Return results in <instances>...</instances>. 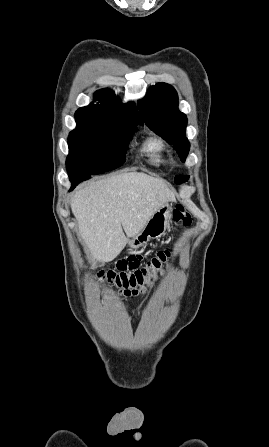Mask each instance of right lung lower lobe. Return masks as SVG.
<instances>
[{
    "instance_id": "1",
    "label": "right lung lower lobe",
    "mask_w": 269,
    "mask_h": 447,
    "mask_svg": "<svg viewBox=\"0 0 269 447\" xmlns=\"http://www.w3.org/2000/svg\"><path fill=\"white\" fill-rule=\"evenodd\" d=\"M91 176H92V175H89V177H91ZM69 177H70V181L72 182V187H71L70 190L74 189L75 186H76L78 183H80L81 181L84 180L83 177H74V176H72V175H70V174H69Z\"/></svg>"
}]
</instances>
